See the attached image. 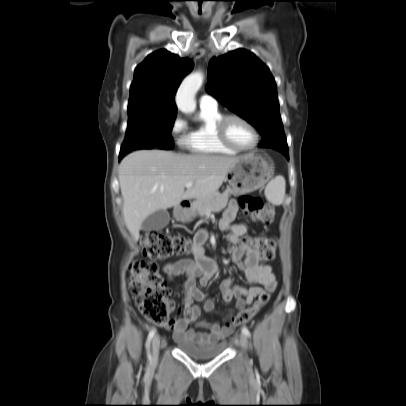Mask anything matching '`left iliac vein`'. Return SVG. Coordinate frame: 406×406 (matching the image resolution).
<instances>
[{
    "mask_svg": "<svg viewBox=\"0 0 406 406\" xmlns=\"http://www.w3.org/2000/svg\"><path fill=\"white\" fill-rule=\"evenodd\" d=\"M239 343H240L241 347H242L244 350L247 349V346H248V339H247V337H246L245 334H241V335L239 336Z\"/></svg>",
    "mask_w": 406,
    "mask_h": 406,
    "instance_id": "left-iliac-vein-1",
    "label": "left iliac vein"
}]
</instances>
